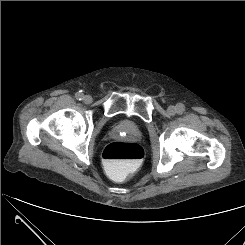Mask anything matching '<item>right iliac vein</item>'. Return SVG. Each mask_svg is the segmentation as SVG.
<instances>
[{
    "label": "right iliac vein",
    "instance_id": "right-iliac-vein-1",
    "mask_svg": "<svg viewBox=\"0 0 245 245\" xmlns=\"http://www.w3.org/2000/svg\"><path fill=\"white\" fill-rule=\"evenodd\" d=\"M83 102H84L85 104H90V103L92 102V97H91L90 95H85V96L83 97Z\"/></svg>",
    "mask_w": 245,
    "mask_h": 245
}]
</instances>
